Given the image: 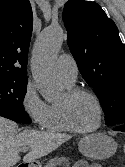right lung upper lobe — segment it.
<instances>
[{
  "instance_id": "right-lung-upper-lobe-1",
  "label": "right lung upper lobe",
  "mask_w": 125,
  "mask_h": 167,
  "mask_svg": "<svg viewBox=\"0 0 125 167\" xmlns=\"http://www.w3.org/2000/svg\"><path fill=\"white\" fill-rule=\"evenodd\" d=\"M32 27L29 0H0V79L27 81Z\"/></svg>"
}]
</instances>
